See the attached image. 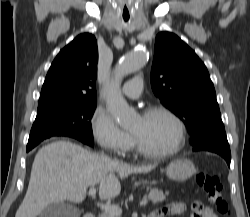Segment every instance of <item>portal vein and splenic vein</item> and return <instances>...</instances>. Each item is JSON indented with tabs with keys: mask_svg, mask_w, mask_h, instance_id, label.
Here are the masks:
<instances>
[{
	"mask_svg": "<svg viewBox=\"0 0 250 217\" xmlns=\"http://www.w3.org/2000/svg\"><path fill=\"white\" fill-rule=\"evenodd\" d=\"M95 194H96V189H95L94 186H91V188L88 191V196L94 197ZM147 203H148L147 199H143L140 202V206H145ZM97 204L102 209H104L107 212H110L111 214H115V215H121L122 214V209L117 205L104 204V203H99V202Z\"/></svg>",
	"mask_w": 250,
	"mask_h": 217,
	"instance_id": "obj_1",
	"label": "portal vein and splenic vein"
}]
</instances>
